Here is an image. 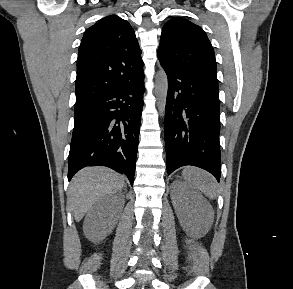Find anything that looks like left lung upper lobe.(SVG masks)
Segmentation results:
<instances>
[{"mask_svg":"<svg viewBox=\"0 0 293 289\" xmlns=\"http://www.w3.org/2000/svg\"><path fill=\"white\" fill-rule=\"evenodd\" d=\"M158 57L170 70L217 80L213 47L198 25L184 18H172L162 28Z\"/></svg>","mask_w":293,"mask_h":289,"instance_id":"1","label":"left lung upper lobe"}]
</instances>
